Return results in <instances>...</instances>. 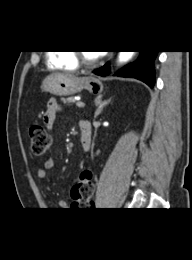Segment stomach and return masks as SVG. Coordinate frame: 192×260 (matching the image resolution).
I'll list each match as a JSON object with an SVG mask.
<instances>
[{
    "instance_id": "obj_1",
    "label": "stomach",
    "mask_w": 192,
    "mask_h": 260,
    "mask_svg": "<svg viewBox=\"0 0 192 260\" xmlns=\"http://www.w3.org/2000/svg\"><path fill=\"white\" fill-rule=\"evenodd\" d=\"M42 89L52 95L68 96L87 90L93 94H99L103 90L100 79L88 77H67L60 74L47 76L42 82Z\"/></svg>"
}]
</instances>
